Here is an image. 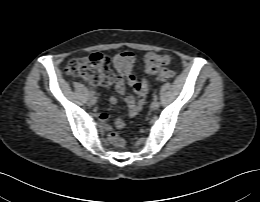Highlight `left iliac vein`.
I'll return each instance as SVG.
<instances>
[{
  "label": "left iliac vein",
  "instance_id": "4c4485c4",
  "mask_svg": "<svg viewBox=\"0 0 260 202\" xmlns=\"http://www.w3.org/2000/svg\"><path fill=\"white\" fill-rule=\"evenodd\" d=\"M151 109L152 110H157L159 108V102L154 100L152 103H151Z\"/></svg>",
  "mask_w": 260,
  "mask_h": 202
}]
</instances>
